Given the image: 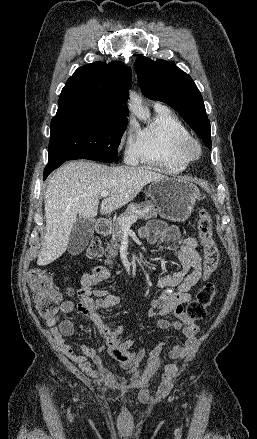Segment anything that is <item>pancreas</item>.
<instances>
[{
	"mask_svg": "<svg viewBox=\"0 0 257 439\" xmlns=\"http://www.w3.org/2000/svg\"><path fill=\"white\" fill-rule=\"evenodd\" d=\"M159 213V209L155 206L152 201H146L141 204H131L128 206L127 210L113 222L112 239L111 242L107 244L106 251L108 252V264H112L110 260L117 254L119 249L118 242L122 240L123 229L119 224L121 218H128L133 215H137L139 219L149 220L151 218H156Z\"/></svg>",
	"mask_w": 257,
	"mask_h": 439,
	"instance_id": "cf45deb5",
	"label": "pancreas"
}]
</instances>
